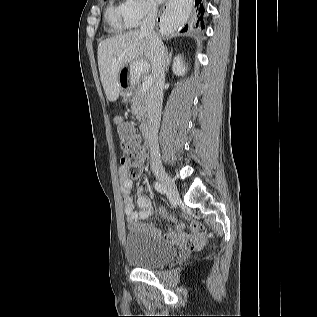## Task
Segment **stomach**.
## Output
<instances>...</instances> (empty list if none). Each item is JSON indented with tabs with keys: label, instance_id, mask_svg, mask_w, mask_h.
<instances>
[{
	"label": "stomach",
	"instance_id": "stomach-1",
	"mask_svg": "<svg viewBox=\"0 0 317 317\" xmlns=\"http://www.w3.org/2000/svg\"><path fill=\"white\" fill-rule=\"evenodd\" d=\"M147 61L146 59H131L125 68H122L118 73V91L120 94H130L132 86H137V83H141V76L138 74H147Z\"/></svg>",
	"mask_w": 317,
	"mask_h": 317
}]
</instances>
